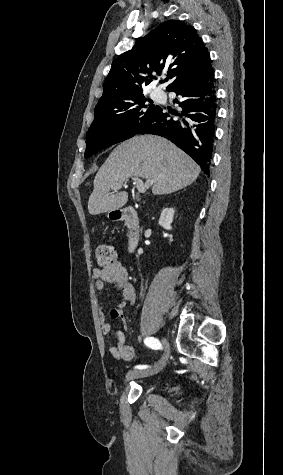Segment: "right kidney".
<instances>
[{
    "label": "right kidney",
    "mask_w": 283,
    "mask_h": 475,
    "mask_svg": "<svg viewBox=\"0 0 283 475\" xmlns=\"http://www.w3.org/2000/svg\"><path fill=\"white\" fill-rule=\"evenodd\" d=\"M174 210L173 208H165L162 210L159 218V226H162L164 230H172L171 224L173 222Z\"/></svg>",
    "instance_id": "obj_1"
}]
</instances>
